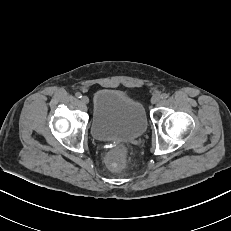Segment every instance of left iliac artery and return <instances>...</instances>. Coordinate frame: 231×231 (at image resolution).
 <instances>
[{
	"instance_id": "44dca946",
	"label": "left iliac artery",
	"mask_w": 231,
	"mask_h": 231,
	"mask_svg": "<svg viewBox=\"0 0 231 231\" xmlns=\"http://www.w3.org/2000/svg\"><path fill=\"white\" fill-rule=\"evenodd\" d=\"M168 96H169V95H168L167 93L161 94V98H162V99H166Z\"/></svg>"
}]
</instances>
